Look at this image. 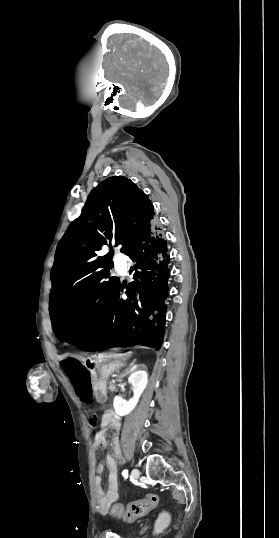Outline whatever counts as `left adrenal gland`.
Listing matches in <instances>:
<instances>
[{"mask_svg": "<svg viewBox=\"0 0 279 538\" xmlns=\"http://www.w3.org/2000/svg\"><path fill=\"white\" fill-rule=\"evenodd\" d=\"M133 364H134V362H132V364H130V366H128V368H126V370H124L123 374H120L118 380H121V378H124V376H127V374H130V372H132Z\"/></svg>", "mask_w": 279, "mask_h": 538, "instance_id": "a2214340", "label": "left adrenal gland"}]
</instances>
